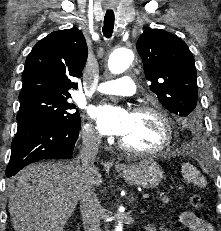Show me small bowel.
Listing matches in <instances>:
<instances>
[{
	"instance_id": "obj_1",
	"label": "small bowel",
	"mask_w": 221,
	"mask_h": 231,
	"mask_svg": "<svg viewBox=\"0 0 221 231\" xmlns=\"http://www.w3.org/2000/svg\"><path fill=\"white\" fill-rule=\"evenodd\" d=\"M182 224L190 231H213L212 225L196 216L194 213L184 211L180 214ZM146 231H172L169 228L158 227L155 225H148Z\"/></svg>"
}]
</instances>
